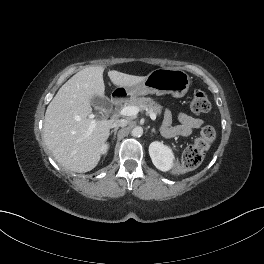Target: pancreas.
Returning a JSON list of instances; mask_svg holds the SVG:
<instances>
[{
    "label": "pancreas",
    "instance_id": "pancreas-1",
    "mask_svg": "<svg viewBox=\"0 0 264 264\" xmlns=\"http://www.w3.org/2000/svg\"><path fill=\"white\" fill-rule=\"evenodd\" d=\"M124 106H136L140 111L148 109L159 115L162 112L160 104L150 97H132L125 101Z\"/></svg>",
    "mask_w": 264,
    "mask_h": 264
}]
</instances>
